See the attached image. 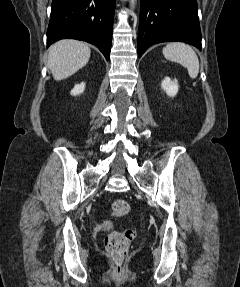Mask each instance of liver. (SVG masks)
I'll use <instances>...</instances> for the list:
<instances>
[{
	"mask_svg": "<svg viewBox=\"0 0 240 287\" xmlns=\"http://www.w3.org/2000/svg\"><path fill=\"white\" fill-rule=\"evenodd\" d=\"M90 54L91 50L86 43L70 39L61 40L50 46L47 67L54 79L60 81L84 67Z\"/></svg>",
	"mask_w": 240,
	"mask_h": 287,
	"instance_id": "liver-1",
	"label": "liver"
}]
</instances>
